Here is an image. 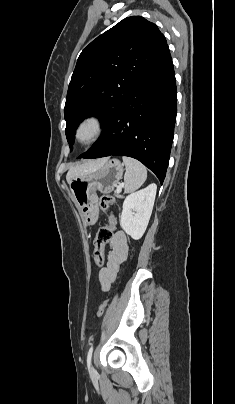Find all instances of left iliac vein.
<instances>
[{"label":"left iliac vein","instance_id":"4c4485c4","mask_svg":"<svg viewBox=\"0 0 235 404\" xmlns=\"http://www.w3.org/2000/svg\"><path fill=\"white\" fill-rule=\"evenodd\" d=\"M90 370H91V372H93V371H94V368H93V367H91V368H90Z\"/></svg>","mask_w":235,"mask_h":404}]
</instances>
